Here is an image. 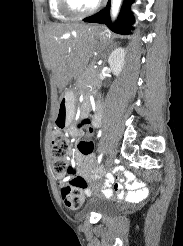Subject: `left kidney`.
<instances>
[{
    "label": "left kidney",
    "mask_w": 183,
    "mask_h": 246,
    "mask_svg": "<svg viewBox=\"0 0 183 246\" xmlns=\"http://www.w3.org/2000/svg\"><path fill=\"white\" fill-rule=\"evenodd\" d=\"M125 49L122 47L116 48L109 56L108 63L114 75L118 76L125 63Z\"/></svg>",
    "instance_id": "1"
}]
</instances>
